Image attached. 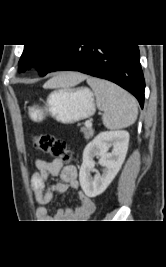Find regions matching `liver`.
Instances as JSON below:
<instances>
[{
	"label": "liver",
	"mask_w": 166,
	"mask_h": 267,
	"mask_svg": "<svg viewBox=\"0 0 166 267\" xmlns=\"http://www.w3.org/2000/svg\"><path fill=\"white\" fill-rule=\"evenodd\" d=\"M87 78L86 75L70 72L57 77H54L44 84V88H59V87H73Z\"/></svg>",
	"instance_id": "liver-1"
}]
</instances>
